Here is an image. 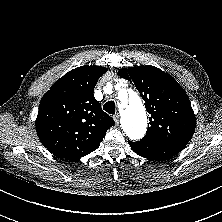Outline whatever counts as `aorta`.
I'll return each mask as SVG.
<instances>
[{
  "label": "aorta",
  "instance_id": "aorta-1",
  "mask_svg": "<svg viewBox=\"0 0 222 222\" xmlns=\"http://www.w3.org/2000/svg\"><path fill=\"white\" fill-rule=\"evenodd\" d=\"M123 108V129L132 140L141 139L146 132L147 116L145 108L139 98L129 99L126 89L119 93Z\"/></svg>",
  "mask_w": 222,
  "mask_h": 222
}]
</instances>
